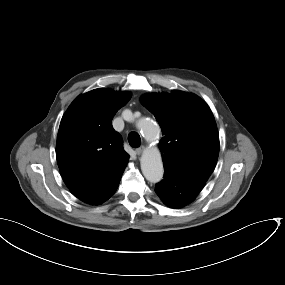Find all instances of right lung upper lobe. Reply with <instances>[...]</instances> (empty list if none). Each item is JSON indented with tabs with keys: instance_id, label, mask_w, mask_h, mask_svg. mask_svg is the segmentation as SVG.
Wrapping results in <instances>:
<instances>
[{
	"instance_id": "right-lung-upper-lobe-1",
	"label": "right lung upper lobe",
	"mask_w": 285,
	"mask_h": 285,
	"mask_svg": "<svg viewBox=\"0 0 285 285\" xmlns=\"http://www.w3.org/2000/svg\"><path fill=\"white\" fill-rule=\"evenodd\" d=\"M129 92L94 89L78 96L62 117L56 158L71 193L88 204H100L117 190L129 155L112 125Z\"/></svg>"
}]
</instances>
